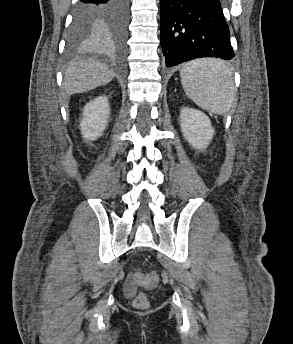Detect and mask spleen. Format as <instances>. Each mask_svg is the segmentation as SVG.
<instances>
[{
    "label": "spleen",
    "instance_id": "spleen-1",
    "mask_svg": "<svg viewBox=\"0 0 293 344\" xmlns=\"http://www.w3.org/2000/svg\"><path fill=\"white\" fill-rule=\"evenodd\" d=\"M180 77L184 91L199 107L220 115L231 107L234 82L223 61L213 58L190 61L182 67Z\"/></svg>",
    "mask_w": 293,
    "mask_h": 344
}]
</instances>
